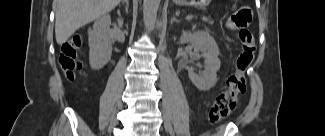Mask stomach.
<instances>
[{
  "mask_svg": "<svg viewBox=\"0 0 325 136\" xmlns=\"http://www.w3.org/2000/svg\"><path fill=\"white\" fill-rule=\"evenodd\" d=\"M174 2L184 6L205 7L210 3V0H174Z\"/></svg>",
  "mask_w": 325,
  "mask_h": 136,
  "instance_id": "1",
  "label": "stomach"
}]
</instances>
